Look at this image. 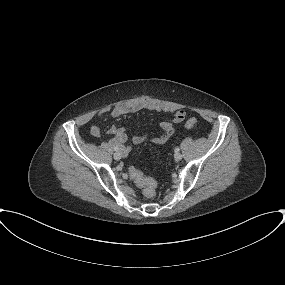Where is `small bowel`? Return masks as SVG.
Here are the masks:
<instances>
[{"label": "small bowel", "mask_w": 285, "mask_h": 285, "mask_svg": "<svg viewBox=\"0 0 285 285\" xmlns=\"http://www.w3.org/2000/svg\"><path fill=\"white\" fill-rule=\"evenodd\" d=\"M139 110H151L161 112L162 108L150 101L147 100H132L124 103L117 104L113 106L109 110H105L102 113H108L112 118H118L124 116L126 114L134 113ZM182 112L183 117L178 118V114ZM185 113L183 111H178L175 115L174 121L176 123H180L184 120ZM161 129L163 133L159 136H156L152 139V142L157 145L165 144L169 138L174 133V125L171 122H162ZM90 133L94 137H98L101 134V128L98 124H94L91 126ZM107 134L111 136L110 144L114 145L115 147L120 148L121 152L128 154L130 152V147L127 145L128 136L126 134L125 128L120 125L113 124L107 130ZM146 135H135L131 138V141L135 144H141L147 141Z\"/></svg>", "instance_id": "1"}]
</instances>
